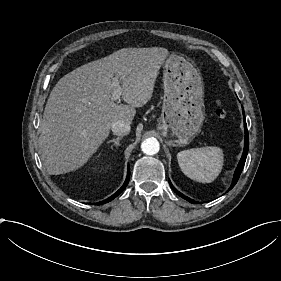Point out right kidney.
<instances>
[{"instance_id":"obj_1","label":"right kidney","mask_w":281,"mask_h":281,"mask_svg":"<svg viewBox=\"0 0 281 281\" xmlns=\"http://www.w3.org/2000/svg\"><path fill=\"white\" fill-rule=\"evenodd\" d=\"M99 167L102 169L104 167V164L100 165Z\"/></svg>"}]
</instances>
